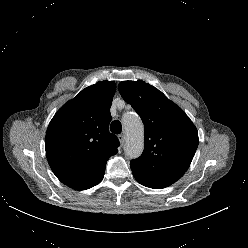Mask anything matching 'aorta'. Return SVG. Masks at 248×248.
I'll list each match as a JSON object with an SVG mask.
<instances>
[{"label":"aorta","mask_w":248,"mask_h":248,"mask_svg":"<svg viewBox=\"0 0 248 248\" xmlns=\"http://www.w3.org/2000/svg\"><path fill=\"white\" fill-rule=\"evenodd\" d=\"M126 134L125 152L130 158L141 155L144 149L143 124L136 113L130 112L123 117Z\"/></svg>","instance_id":"762f6f07"}]
</instances>
